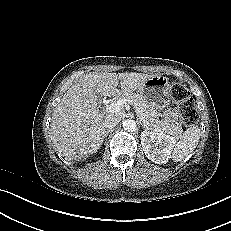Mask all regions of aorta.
<instances>
[{"mask_svg":"<svg viewBox=\"0 0 231 231\" xmlns=\"http://www.w3.org/2000/svg\"><path fill=\"white\" fill-rule=\"evenodd\" d=\"M123 128H124V130H126L128 132H133L136 130L137 124L134 120L127 119L123 122Z\"/></svg>","mask_w":231,"mask_h":231,"instance_id":"aorta-1","label":"aorta"}]
</instances>
